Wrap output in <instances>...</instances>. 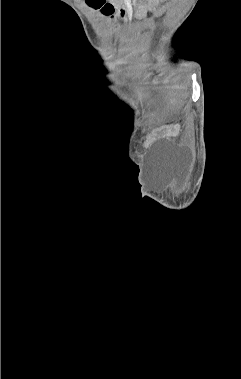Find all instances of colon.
<instances>
[{
	"mask_svg": "<svg viewBox=\"0 0 241 379\" xmlns=\"http://www.w3.org/2000/svg\"><path fill=\"white\" fill-rule=\"evenodd\" d=\"M87 4L93 9L101 10L105 15L113 13L112 6L108 4L106 0H87Z\"/></svg>",
	"mask_w": 241,
	"mask_h": 379,
	"instance_id": "colon-1",
	"label": "colon"
}]
</instances>
